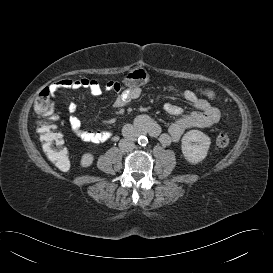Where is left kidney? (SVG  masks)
I'll list each match as a JSON object with an SVG mask.
<instances>
[{"instance_id":"1","label":"left kidney","mask_w":273,"mask_h":273,"mask_svg":"<svg viewBox=\"0 0 273 273\" xmlns=\"http://www.w3.org/2000/svg\"><path fill=\"white\" fill-rule=\"evenodd\" d=\"M181 150L186 160L192 164L201 162L209 150L210 138L199 130H190L181 140Z\"/></svg>"}]
</instances>
